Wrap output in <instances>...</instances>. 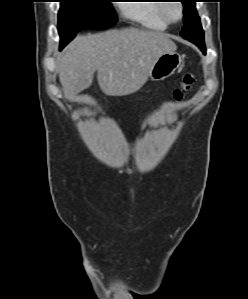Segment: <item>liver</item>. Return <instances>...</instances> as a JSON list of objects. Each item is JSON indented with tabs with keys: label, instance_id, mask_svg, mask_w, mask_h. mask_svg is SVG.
I'll return each mask as SVG.
<instances>
[{
	"label": "liver",
	"instance_id": "6515ba94",
	"mask_svg": "<svg viewBox=\"0 0 248 299\" xmlns=\"http://www.w3.org/2000/svg\"><path fill=\"white\" fill-rule=\"evenodd\" d=\"M176 48L167 34L134 27L77 36L57 60L65 97L90 87L95 71L105 94H132L146 83L158 58Z\"/></svg>",
	"mask_w": 248,
	"mask_h": 299
}]
</instances>
